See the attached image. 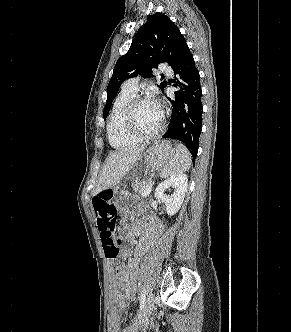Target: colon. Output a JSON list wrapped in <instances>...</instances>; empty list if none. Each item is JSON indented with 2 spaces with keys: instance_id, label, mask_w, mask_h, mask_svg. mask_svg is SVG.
Masks as SVG:
<instances>
[{
  "instance_id": "obj_1",
  "label": "colon",
  "mask_w": 291,
  "mask_h": 332,
  "mask_svg": "<svg viewBox=\"0 0 291 332\" xmlns=\"http://www.w3.org/2000/svg\"><path fill=\"white\" fill-rule=\"evenodd\" d=\"M94 210L97 217V224L100 231L104 253L108 259H116L119 253L116 245V208L111 202V193L103 191L93 200ZM110 332H119L120 318L115 310L109 318Z\"/></svg>"
}]
</instances>
